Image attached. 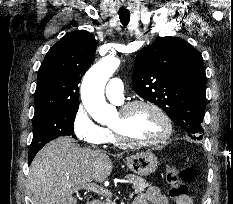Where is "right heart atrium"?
I'll return each instance as SVG.
<instances>
[{"label":"right heart atrium","instance_id":"obj_1","mask_svg":"<svg viewBox=\"0 0 233 204\" xmlns=\"http://www.w3.org/2000/svg\"><path fill=\"white\" fill-rule=\"evenodd\" d=\"M72 130L76 138L87 145L97 146L106 142L104 128L92 119L83 105H79L74 113Z\"/></svg>","mask_w":233,"mask_h":204}]
</instances>
